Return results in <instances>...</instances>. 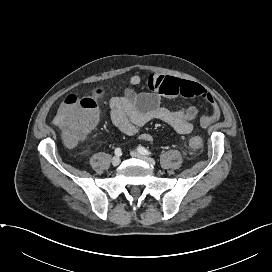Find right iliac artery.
Segmentation results:
<instances>
[{
  "mask_svg": "<svg viewBox=\"0 0 272 272\" xmlns=\"http://www.w3.org/2000/svg\"><path fill=\"white\" fill-rule=\"evenodd\" d=\"M115 155H116V156H121V155H122V151H121L120 148H116V149H115Z\"/></svg>",
  "mask_w": 272,
  "mask_h": 272,
  "instance_id": "right-iliac-artery-1",
  "label": "right iliac artery"
}]
</instances>
